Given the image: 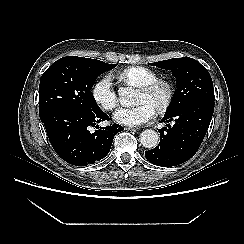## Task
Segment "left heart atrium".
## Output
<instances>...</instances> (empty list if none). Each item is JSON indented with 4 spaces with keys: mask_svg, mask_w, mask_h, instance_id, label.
Masks as SVG:
<instances>
[{
    "mask_svg": "<svg viewBox=\"0 0 244 244\" xmlns=\"http://www.w3.org/2000/svg\"><path fill=\"white\" fill-rule=\"evenodd\" d=\"M155 117V109L149 103L143 102L134 107L119 108L114 119L120 124L136 127L150 122Z\"/></svg>",
    "mask_w": 244,
    "mask_h": 244,
    "instance_id": "1",
    "label": "left heart atrium"
}]
</instances>
